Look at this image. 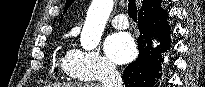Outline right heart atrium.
<instances>
[{
  "label": "right heart atrium",
  "instance_id": "d8ad5b80",
  "mask_svg": "<svg viewBox=\"0 0 205 87\" xmlns=\"http://www.w3.org/2000/svg\"><path fill=\"white\" fill-rule=\"evenodd\" d=\"M71 63L77 75L96 80L117 71L115 65L97 51L74 49Z\"/></svg>",
  "mask_w": 205,
  "mask_h": 87
}]
</instances>
